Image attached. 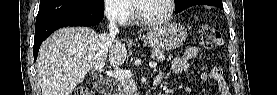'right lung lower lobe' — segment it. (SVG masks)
<instances>
[{
    "label": "right lung lower lobe",
    "mask_w": 277,
    "mask_h": 95,
    "mask_svg": "<svg viewBox=\"0 0 277 95\" xmlns=\"http://www.w3.org/2000/svg\"><path fill=\"white\" fill-rule=\"evenodd\" d=\"M104 13L96 14H60L36 19L34 38V61L41 43L55 30L66 26H94L103 19Z\"/></svg>",
    "instance_id": "right-lung-lower-lobe-1"
}]
</instances>
